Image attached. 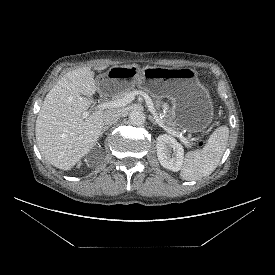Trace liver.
I'll return each mask as SVG.
<instances>
[{
	"mask_svg": "<svg viewBox=\"0 0 275 275\" xmlns=\"http://www.w3.org/2000/svg\"><path fill=\"white\" fill-rule=\"evenodd\" d=\"M108 65L95 67L103 70ZM97 90L94 72L81 67L67 72L46 95L38 113L35 135L38 148L54 167L70 170L89 153L104 124V111L83 116Z\"/></svg>",
	"mask_w": 275,
	"mask_h": 275,
	"instance_id": "1",
	"label": "liver"
}]
</instances>
